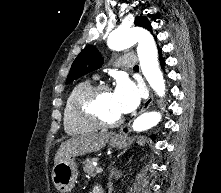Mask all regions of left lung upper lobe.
Segmentation results:
<instances>
[{"instance_id":"1","label":"left lung upper lobe","mask_w":221,"mask_h":193,"mask_svg":"<svg viewBox=\"0 0 221 193\" xmlns=\"http://www.w3.org/2000/svg\"><path fill=\"white\" fill-rule=\"evenodd\" d=\"M135 25L144 27L149 31L152 30L150 22L143 16L135 18ZM102 64L103 59L98 50L94 46H87L74 60L67 77L66 84L91 71L99 69Z\"/></svg>"}]
</instances>
